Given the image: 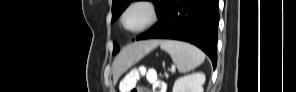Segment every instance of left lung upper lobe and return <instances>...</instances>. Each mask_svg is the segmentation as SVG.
Returning a JSON list of instances; mask_svg holds the SVG:
<instances>
[{
    "label": "left lung upper lobe",
    "instance_id": "1",
    "mask_svg": "<svg viewBox=\"0 0 296 92\" xmlns=\"http://www.w3.org/2000/svg\"><path fill=\"white\" fill-rule=\"evenodd\" d=\"M135 0H113L112 3V22H114L119 16L120 14L125 10V8L132 2ZM152 1L155 5H156V12L159 16V21L158 23L152 27L151 29H154L156 27H158L165 16V11H166V7L167 4L169 2V0H150ZM150 29V30H151ZM119 51V46L114 43V49H113V54H116Z\"/></svg>",
    "mask_w": 296,
    "mask_h": 92
}]
</instances>
